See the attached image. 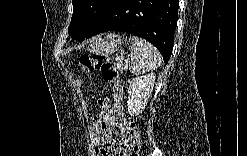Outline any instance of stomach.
Returning a JSON list of instances; mask_svg holds the SVG:
<instances>
[{
  "label": "stomach",
  "mask_w": 247,
  "mask_h": 156,
  "mask_svg": "<svg viewBox=\"0 0 247 156\" xmlns=\"http://www.w3.org/2000/svg\"><path fill=\"white\" fill-rule=\"evenodd\" d=\"M122 44V38L115 33L107 34L96 39L90 46L93 53L101 55H109L115 52Z\"/></svg>",
  "instance_id": "stomach-1"
}]
</instances>
